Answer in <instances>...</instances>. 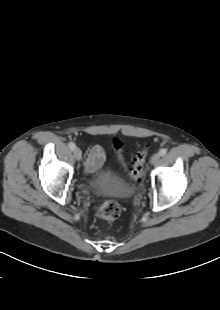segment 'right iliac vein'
<instances>
[{
  "label": "right iliac vein",
  "mask_w": 220,
  "mask_h": 310,
  "mask_svg": "<svg viewBox=\"0 0 220 310\" xmlns=\"http://www.w3.org/2000/svg\"><path fill=\"white\" fill-rule=\"evenodd\" d=\"M73 153H74V157H75L76 160L79 161V160L82 159V152H81V150L79 148H75L73 150Z\"/></svg>",
  "instance_id": "obj_1"
}]
</instances>
